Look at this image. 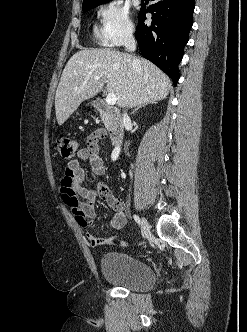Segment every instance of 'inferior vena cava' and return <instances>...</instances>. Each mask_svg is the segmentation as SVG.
<instances>
[{"instance_id": "inferior-vena-cava-1", "label": "inferior vena cava", "mask_w": 247, "mask_h": 332, "mask_svg": "<svg viewBox=\"0 0 247 332\" xmlns=\"http://www.w3.org/2000/svg\"><path fill=\"white\" fill-rule=\"evenodd\" d=\"M125 47L128 51H135L136 49V43H135V39L133 37V31L130 30L127 35H126V39H125ZM129 119L127 113L125 112L123 114V120Z\"/></svg>"}]
</instances>
